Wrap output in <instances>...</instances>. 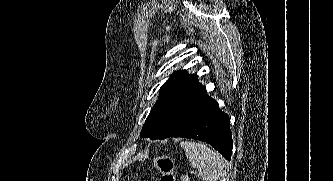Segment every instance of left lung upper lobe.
Listing matches in <instances>:
<instances>
[{
	"mask_svg": "<svg viewBox=\"0 0 333 181\" xmlns=\"http://www.w3.org/2000/svg\"><path fill=\"white\" fill-rule=\"evenodd\" d=\"M196 74L184 70L175 72L160 88V95L151 109L141 137L162 139L176 135L212 99Z\"/></svg>",
	"mask_w": 333,
	"mask_h": 181,
	"instance_id": "left-lung-upper-lobe-1",
	"label": "left lung upper lobe"
}]
</instances>
